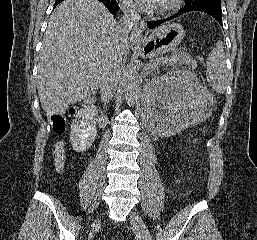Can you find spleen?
Masks as SVG:
<instances>
[{
	"mask_svg": "<svg viewBox=\"0 0 257 240\" xmlns=\"http://www.w3.org/2000/svg\"><path fill=\"white\" fill-rule=\"evenodd\" d=\"M206 79L216 93H225L228 84V71L222 42H217L216 47L207 57Z\"/></svg>",
	"mask_w": 257,
	"mask_h": 240,
	"instance_id": "obj_1",
	"label": "spleen"
}]
</instances>
